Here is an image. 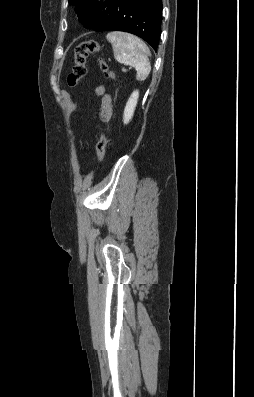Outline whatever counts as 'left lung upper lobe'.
Returning a JSON list of instances; mask_svg holds the SVG:
<instances>
[{
  "label": "left lung upper lobe",
  "mask_w": 254,
  "mask_h": 397,
  "mask_svg": "<svg viewBox=\"0 0 254 397\" xmlns=\"http://www.w3.org/2000/svg\"><path fill=\"white\" fill-rule=\"evenodd\" d=\"M107 0H68L75 5L79 21L86 28H95L103 18Z\"/></svg>",
  "instance_id": "left-lung-upper-lobe-1"
}]
</instances>
